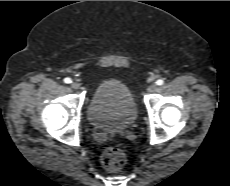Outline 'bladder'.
Instances as JSON below:
<instances>
[{
	"label": "bladder",
	"instance_id": "1",
	"mask_svg": "<svg viewBox=\"0 0 230 186\" xmlns=\"http://www.w3.org/2000/svg\"><path fill=\"white\" fill-rule=\"evenodd\" d=\"M90 124L107 132L131 127L137 118L134 98L123 83L108 79L95 88L87 111Z\"/></svg>",
	"mask_w": 230,
	"mask_h": 186
}]
</instances>
